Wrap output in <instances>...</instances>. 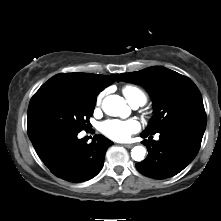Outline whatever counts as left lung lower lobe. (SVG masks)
Masks as SVG:
<instances>
[{
	"label": "left lung lower lobe",
	"mask_w": 221,
	"mask_h": 221,
	"mask_svg": "<svg viewBox=\"0 0 221 221\" xmlns=\"http://www.w3.org/2000/svg\"><path fill=\"white\" fill-rule=\"evenodd\" d=\"M206 128V120L186 119L168 125L158 131V141L144 140L148 156L136 164L143 175L165 179L188 166L196 157ZM151 134H142L146 138Z\"/></svg>",
	"instance_id": "obj_1"
}]
</instances>
